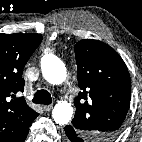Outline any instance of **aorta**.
Wrapping results in <instances>:
<instances>
[{
    "label": "aorta",
    "instance_id": "obj_1",
    "mask_svg": "<svg viewBox=\"0 0 142 142\" xmlns=\"http://www.w3.org/2000/svg\"><path fill=\"white\" fill-rule=\"evenodd\" d=\"M41 70L47 82L53 85L61 84L66 79L64 63L53 54H44L41 58ZM73 115V108L66 101L58 102L53 109L52 117L59 125L67 124Z\"/></svg>",
    "mask_w": 142,
    "mask_h": 142
}]
</instances>
